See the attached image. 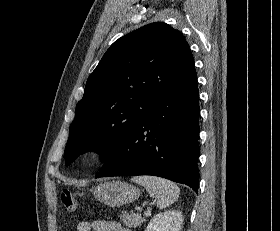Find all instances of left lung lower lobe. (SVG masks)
Instances as JSON below:
<instances>
[{
	"mask_svg": "<svg viewBox=\"0 0 280 231\" xmlns=\"http://www.w3.org/2000/svg\"><path fill=\"white\" fill-rule=\"evenodd\" d=\"M199 91L196 71L165 92L115 146L96 175H153L198 193Z\"/></svg>",
	"mask_w": 280,
	"mask_h": 231,
	"instance_id": "left-lung-lower-lobe-1",
	"label": "left lung lower lobe"
}]
</instances>
